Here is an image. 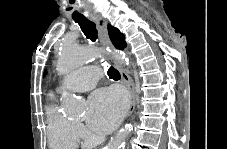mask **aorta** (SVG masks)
Instances as JSON below:
<instances>
[{"mask_svg": "<svg viewBox=\"0 0 227 149\" xmlns=\"http://www.w3.org/2000/svg\"><path fill=\"white\" fill-rule=\"evenodd\" d=\"M117 59H122L120 53L115 54ZM98 57V54L86 47L79 46L74 43H63L60 49L57 71L60 74H67L85 62L93 60ZM64 106L68 108L72 113H80V105L77 98L72 95L66 96L63 99ZM131 132V126H126L120 130L115 137H113L108 143L106 149H122L125 140Z\"/></svg>", "mask_w": 227, "mask_h": 149, "instance_id": "1", "label": "aorta"}]
</instances>
